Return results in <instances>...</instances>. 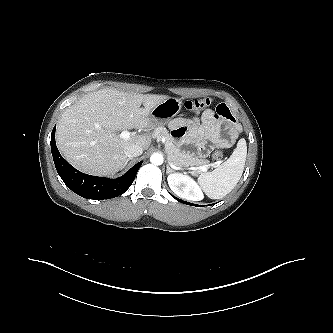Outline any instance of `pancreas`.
Listing matches in <instances>:
<instances>
[{
  "label": "pancreas",
  "instance_id": "pancreas-1",
  "mask_svg": "<svg viewBox=\"0 0 333 333\" xmlns=\"http://www.w3.org/2000/svg\"><path fill=\"white\" fill-rule=\"evenodd\" d=\"M153 138L157 140L164 138L166 140L165 149L167 152V159L172 164L202 165L206 162L203 159H199L198 157H194L191 154L182 151L180 143L169 135L165 127H156L153 132Z\"/></svg>",
  "mask_w": 333,
  "mask_h": 333
}]
</instances>
